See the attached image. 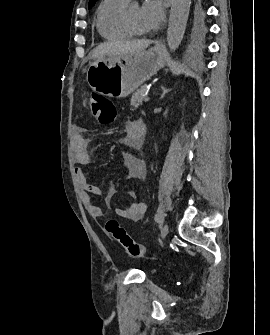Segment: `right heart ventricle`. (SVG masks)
<instances>
[{
  "mask_svg": "<svg viewBox=\"0 0 270 335\" xmlns=\"http://www.w3.org/2000/svg\"><path fill=\"white\" fill-rule=\"evenodd\" d=\"M128 2L123 0H103L99 4L96 11V29L103 38L108 40H122L133 36L122 23V14Z\"/></svg>",
  "mask_w": 270,
  "mask_h": 335,
  "instance_id": "e07e8e85",
  "label": "right heart ventricle"
}]
</instances>
